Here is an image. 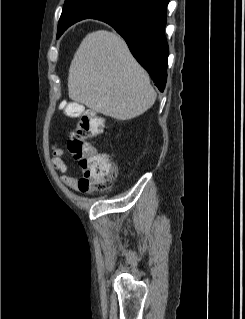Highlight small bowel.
I'll return each mask as SVG.
<instances>
[{"instance_id":"small-bowel-1","label":"small bowel","mask_w":245,"mask_h":319,"mask_svg":"<svg viewBox=\"0 0 245 319\" xmlns=\"http://www.w3.org/2000/svg\"><path fill=\"white\" fill-rule=\"evenodd\" d=\"M52 153H53V157H52V163L54 165V167L59 170L60 172H62V176H61V180L62 182L70 187L71 189L77 191L79 190V180L77 177L71 175L68 171V167L64 161V150L59 147L58 145H55L52 148Z\"/></svg>"}]
</instances>
